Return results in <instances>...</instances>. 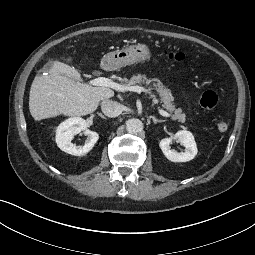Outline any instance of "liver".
<instances>
[{
  "label": "liver",
  "mask_w": 255,
  "mask_h": 255,
  "mask_svg": "<svg viewBox=\"0 0 255 255\" xmlns=\"http://www.w3.org/2000/svg\"><path fill=\"white\" fill-rule=\"evenodd\" d=\"M113 96L111 89L84 83L76 69L57 61L47 73L34 78L29 110L35 121L61 114L79 117L93 113L101 100Z\"/></svg>",
  "instance_id": "6515ba94"
}]
</instances>
